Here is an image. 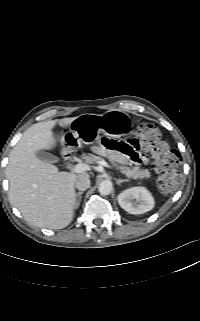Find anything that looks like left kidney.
<instances>
[{"instance_id":"obj_1","label":"left kidney","mask_w":200,"mask_h":321,"mask_svg":"<svg viewBox=\"0 0 200 321\" xmlns=\"http://www.w3.org/2000/svg\"><path fill=\"white\" fill-rule=\"evenodd\" d=\"M118 203L130 214H143L153 209L154 199L144 187H132L118 195Z\"/></svg>"}]
</instances>
